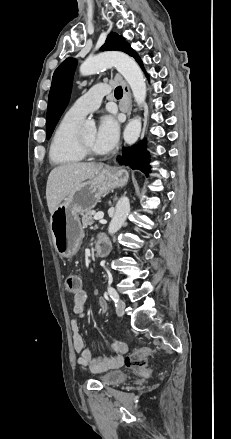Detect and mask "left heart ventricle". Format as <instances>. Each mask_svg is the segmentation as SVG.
I'll list each match as a JSON object with an SVG mask.
<instances>
[{"mask_svg":"<svg viewBox=\"0 0 231 439\" xmlns=\"http://www.w3.org/2000/svg\"><path fill=\"white\" fill-rule=\"evenodd\" d=\"M95 134H96V132L94 130H87V131L81 132V136H82L83 140L85 141V143L89 147H91L93 150H95L96 152L101 153L95 144Z\"/></svg>","mask_w":231,"mask_h":439,"instance_id":"1","label":"left heart ventricle"}]
</instances>
